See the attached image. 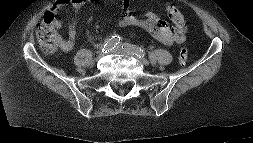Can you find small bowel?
Segmentation results:
<instances>
[{"mask_svg":"<svg viewBox=\"0 0 253 143\" xmlns=\"http://www.w3.org/2000/svg\"><path fill=\"white\" fill-rule=\"evenodd\" d=\"M102 0H56L51 8L53 13H57L61 8L69 6L74 14V18L68 25V39L61 41L62 50L70 51L75 43L77 37V15L79 12L92 4H96ZM122 15L118 19V25L121 27L139 26L145 29L156 40L165 44H181L185 41V23L183 15L173 5L167 6L169 18L174 23L171 27L169 23L157 16L154 12H147L143 16H139L130 11V0H120ZM175 12L181 17L183 27H179ZM54 26L61 28L62 23L59 19H54Z\"/></svg>","mask_w":253,"mask_h":143,"instance_id":"1","label":"small bowel"}]
</instances>
